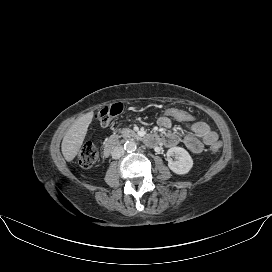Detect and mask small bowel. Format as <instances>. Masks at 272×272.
Instances as JSON below:
<instances>
[{"mask_svg":"<svg viewBox=\"0 0 272 272\" xmlns=\"http://www.w3.org/2000/svg\"><path fill=\"white\" fill-rule=\"evenodd\" d=\"M161 128L168 129L172 127L171 119L161 116L157 121ZM187 132L181 138L178 132L169 131L164 137V142L167 146H176L182 141L185 146L193 153L198 154L203 150L204 145H212L218 139L217 134L202 121H190L186 123Z\"/></svg>","mask_w":272,"mask_h":272,"instance_id":"c3829d8e","label":"small bowel"}]
</instances>
